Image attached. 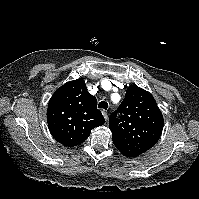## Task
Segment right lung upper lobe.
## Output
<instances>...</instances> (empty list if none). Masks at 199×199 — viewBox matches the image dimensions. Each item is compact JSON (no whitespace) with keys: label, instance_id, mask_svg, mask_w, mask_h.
I'll list each match as a JSON object with an SVG mask.
<instances>
[{"label":"right lung upper lobe","instance_id":"obj_1","mask_svg":"<svg viewBox=\"0 0 199 199\" xmlns=\"http://www.w3.org/2000/svg\"><path fill=\"white\" fill-rule=\"evenodd\" d=\"M47 123L59 143L73 147L83 143L90 131L103 125L105 119L83 79H77L55 91L48 103Z\"/></svg>","mask_w":199,"mask_h":199}]
</instances>
